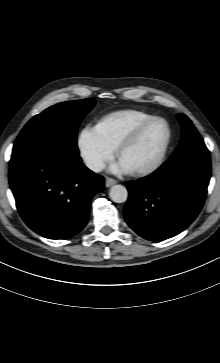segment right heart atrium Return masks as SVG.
<instances>
[{"label": "right heart atrium", "mask_w": 220, "mask_h": 363, "mask_svg": "<svg viewBox=\"0 0 220 363\" xmlns=\"http://www.w3.org/2000/svg\"><path fill=\"white\" fill-rule=\"evenodd\" d=\"M78 150L85 166L91 171H100L113 155L111 148L97 133L95 127H84L78 136Z\"/></svg>", "instance_id": "right-heart-atrium-1"}]
</instances>
